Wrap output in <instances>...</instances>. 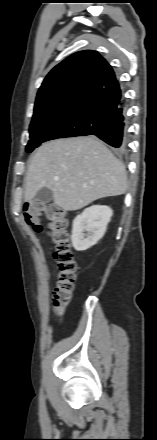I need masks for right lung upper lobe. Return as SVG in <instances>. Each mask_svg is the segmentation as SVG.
<instances>
[{"label": "right lung upper lobe", "instance_id": "obj_1", "mask_svg": "<svg viewBox=\"0 0 157 440\" xmlns=\"http://www.w3.org/2000/svg\"><path fill=\"white\" fill-rule=\"evenodd\" d=\"M121 102V89L111 66L96 51H80L46 76L37 94L32 122L71 120L88 124Z\"/></svg>", "mask_w": 157, "mask_h": 440}]
</instances>
